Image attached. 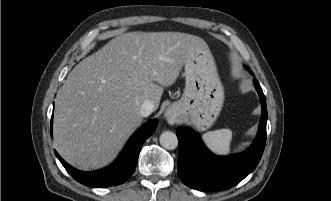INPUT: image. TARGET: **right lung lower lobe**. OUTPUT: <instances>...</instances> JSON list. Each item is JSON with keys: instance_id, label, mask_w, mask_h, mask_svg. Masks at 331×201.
<instances>
[{"instance_id": "obj_1", "label": "right lung lower lobe", "mask_w": 331, "mask_h": 201, "mask_svg": "<svg viewBox=\"0 0 331 201\" xmlns=\"http://www.w3.org/2000/svg\"><path fill=\"white\" fill-rule=\"evenodd\" d=\"M158 121H149L138 129L130 138L119 158L109 167L96 172H82L66 163L55 151L56 156L78 182L90 187H107L127 181L134 172L139 152L144 141L156 130ZM52 130V127H51Z\"/></svg>"}]
</instances>
